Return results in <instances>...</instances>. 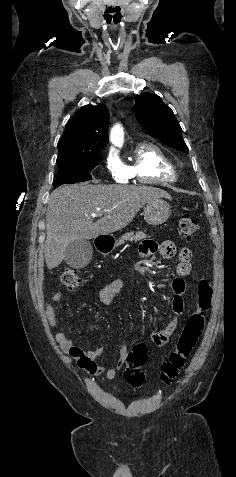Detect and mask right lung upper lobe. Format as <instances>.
<instances>
[{
  "mask_svg": "<svg viewBox=\"0 0 236 477\" xmlns=\"http://www.w3.org/2000/svg\"><path fill=\"white\" fill-rule=\"evenodd\" d=\"M108 120L109 111L103 104L86 105L79 109L67 123L64 135L58 142L57 161L102 150L108 143Z\"/></svg>",
  "mask_w": 236,
  "mask_h": 477,
  "instance_id": "cb5924a9",
  "label": "right lung upper lobe"
}]
</instances>
